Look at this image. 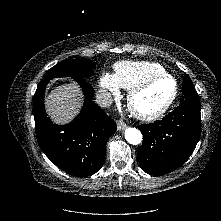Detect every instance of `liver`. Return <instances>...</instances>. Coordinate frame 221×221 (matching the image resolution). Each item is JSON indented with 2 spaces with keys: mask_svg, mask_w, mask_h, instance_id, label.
<instances>
[{
  "mask_svg": "<svg viewBox=\"0 0 221 221\" xmlns=\"http://www.w3.org/2000/svg\"><path fill=\"white\" fill-rule=\"evenodd\" d=\"M82 92L75 82L55 87L47 95L45 109L56 124L69 123L79 112Z\"/></svg>",
  "mask_w": 221,
  "mask_h": 221,
  "instance_id": "obj_1",
  "label": "liver"
}]
</instances>
